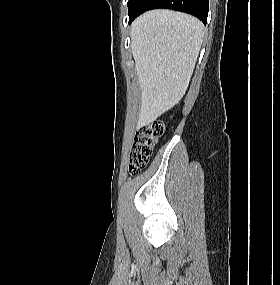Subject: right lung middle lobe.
<instances>
[{"mask_svg":"<svg viewBox=\"0 0 280 285\" xmlns=\"http://www.w3.org/2000/svg\"><path fill=\"white\" fill-rule=\"evenodd\" d=\"M140 1L141 0H129L128 1V8H129L128 13H129V15H131L135 11V9L138 6Z\"/></svg>","mask_w":280,"mask_h":285,"instance_id":"1","label":"right lung middle lobe"}]
</instances>
